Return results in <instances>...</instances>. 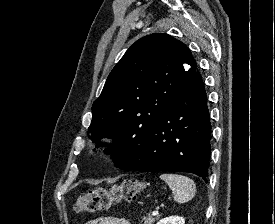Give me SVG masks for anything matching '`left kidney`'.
I'll return each instance as SVG.
<instances>
[{
  "mask_svg": "<svg viewBox=\"0 0 275 224\" xmlns=\"http://www.w3.org/2000/svg\"><path fill=\"white\" fill-rule=\"evenodd\" d=\"M157 224H185L183 217L171 216L161 219Z\"/></svg>",
  "mask_w": 275,
  "mask_h": 224,
  "instance_id": "obj_1",
  "label": "left kidney"
}]
</instances>
